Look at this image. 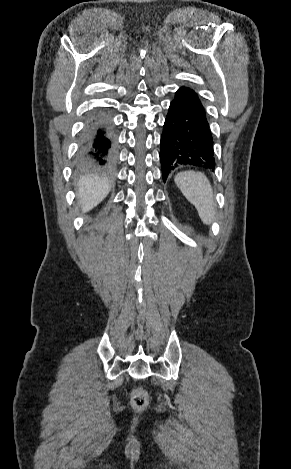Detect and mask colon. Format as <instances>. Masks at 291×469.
<instances>
[{
    "label": "colon",
    "instance_id": "1",
    "mask_svg": "<svg viewBox=\"0 0 291 469\" xmlns=\"http://www.w3.org/2000/svg\"><path fill=\"white\" fill-rule=\"evenodd\" d=\"M131 403L137 409L144 408L148 403L147 393L140 388L133 390L131 394Z\"/></svg>",
    "mask_w": 291,
    "mask_h": 469
}]
</instances>
